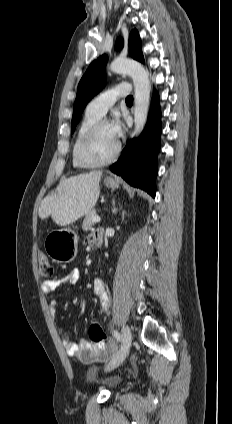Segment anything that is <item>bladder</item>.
Here are the masks:
<instances>
[{
    "label": "bladder",
    "mask_w": 232,
    "mask_h": 424,
    "mask_svg": "<svg viewBox=\"0 0 232 424\" xmlns=\"http://www.w3.org/2000/svg\"><path fill=\"white\" fill-rule=\"evenodd\" d=\"M86 379L90 383L103 384L109 387L119 383V378L116 376H105L103 367L93 366L87 369Z\"/></svg>",
    "instance_id": "obj_1"
}]
</instances>
